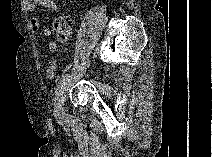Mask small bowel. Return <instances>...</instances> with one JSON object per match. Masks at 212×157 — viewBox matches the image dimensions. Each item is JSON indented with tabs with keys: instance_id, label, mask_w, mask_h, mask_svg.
Instances as JSON below:
<instances>
[{
	"instance_id": "small-bowel-1",
	"label": "small bowel",
	"mask_w": 212,
	"mask_h": 157,
	"mask_svg": "<svg viewBox=\"0 0 212 157\" xmlns=\"http://www.w3.org/2000/svg\"><path fill=\"white\" fill-rule=\"evenodd\" d=\"M36 5H40L41 7L50 11L51 13L58 12V6L53 0H24L23 1L24 10L28 13H32L35 10ZM30 28L33 32L39 31L40 22L37 17L34 16L30 19ZM42 33L45 37H50L52 34V31L50 28L45 27L43 28ZM48 50L51 53H55L57 51V44L55 42H50L48 44ZM56 68H57V61L54 59L50 60L45 70V76L48 79H53L55 76Z\"/></svg>"
}]
</instances>
